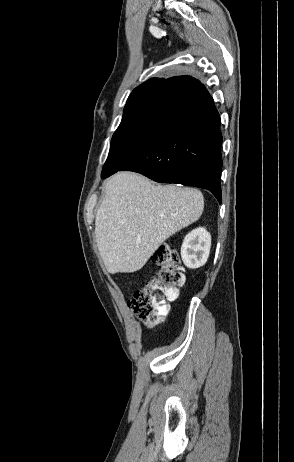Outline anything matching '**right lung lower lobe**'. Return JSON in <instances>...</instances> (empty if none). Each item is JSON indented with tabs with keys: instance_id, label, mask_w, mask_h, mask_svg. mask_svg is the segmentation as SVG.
Segmentation results:
<instances>
[{
	"instance_id": "obj_1",
	"label": "right lung lower lobe",
	"mask_w": 294,
	"mask_h": 462,
	"mask_svg": "<svg viewBox=\"0 0 294 462\" xmlns=\"http://www.w3.org/2000/svg\"><path fill=\"white\" fill-rule=\"evenodd\" d=\"M185 99L187 105L172 123L118 171L138 172L161 183L205 188L221 203L223 163L218 111L207 90Z\"/></svg>"
}]
</instances>
